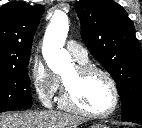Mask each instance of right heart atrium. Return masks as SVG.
Here are the masks:
<instances>
[{
    "label": "right heart atrium",
    "instance_id": "d8ad5b80",
    "mask_svg": "<svg viewBox=\"0 0 142 128\" xmlns=\"http://www.w3.org/2000/svg\"><path fill=\"white\" fill-rule=\"evenodd\" d=\"M30 77L38 99L45 105L51 104L60 89V79L39 58L32 62Z\"/></svg>",
    "mask_w": 142,
    "mask_h": 128
}]
</instances>
